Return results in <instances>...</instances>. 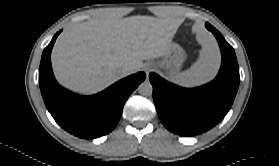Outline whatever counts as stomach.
<instances>
[{
	"label": "stomach",
	"instance_id": "obj_1",
	"mask_svg": "<svg viewBox=\"0 0 279 166\" xmlns=\"http://www.w3.org/2000/svg\"><path fill=\"white\" fill-rule=\"evenodd\" d=\"M186 59L184 50L176 43H171L166 52L157 60L158 67L166 70L171 76L175 77Z\"/></svg>",
	"mask_w": 279,
	"mask_h": 166
}]
</instances>
